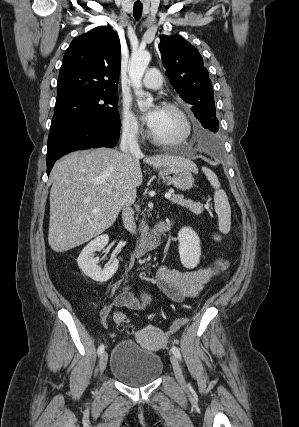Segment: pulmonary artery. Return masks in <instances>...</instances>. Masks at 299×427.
<instances>
[{"instance_id": "1", "label": "pulmonary artery", "mask_w": 299, "mask_h": 427, "mask_svg": "<svg viewBox=\"0 0 299 427\" xmlns=\"http://www.w3.org/2000/svg\"><path fill=\"white\" fill-rule=\"evenodd\" d=\"M142 83L148 89L154 90L160 88L162 86L160 71L156 68L148 69Z\"/></svg>"}]
</instances>
